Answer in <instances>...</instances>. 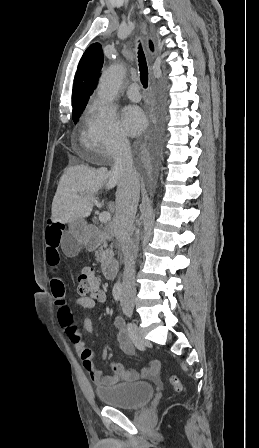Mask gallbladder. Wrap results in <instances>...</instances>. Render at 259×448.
I'll return each mask as SVG.
<instances>
[{"mask_svg":"<svg viewBox=\"0 0 259 448\" xmlns=\"http://www.w3.org/2000/svg\"><path fill=\"white\" fill-rule=\"evenodd\" d=\"M61 248L68 258H74V256L79 254L82 244L78 240H75L69 232H64L61 238Z\"/></svg>","mask_w":259,"mask_h":448,"instance_id":"gallbladder-1","label":"gallbladder"}]
</instances>
